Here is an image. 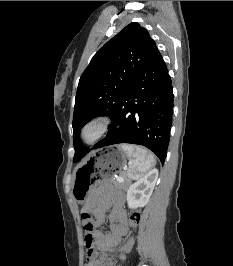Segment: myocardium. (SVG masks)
I'll use <instances>...</instances> for the list:
<instances>
[{
    "instance_id": "myocardium-1",
    "label": "myocardium",
    "mask_w": 233,
    "mask_h": 266,
    "mask_svg": "<svg viewBox=\"0 0 233 266\" xmlns=\"http://www.w3.org/2000/svg\"><path fill=\"white\" fill-rule=\"evenodd\" d=\"M111 124L109 115H99L89 119L80 130V139L86 145L98 142L108 131Z\"/></svg>"
}]
</instances>
